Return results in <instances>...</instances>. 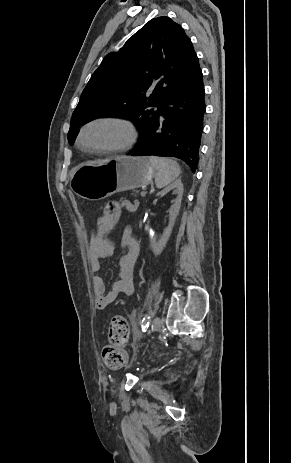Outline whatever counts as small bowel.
I'll return each instance as SVG.
<instances>
[{"mask_svg": "<svg viewBox=\"0 0 291 463\" xmlns=\"http://www.w3.org/2000/svg\"><path fill=\"white\" fill-rule=\"evenodd\" d=\"M106 233H99L97 230L92 234L89 244V259L91 271L94 273L92 287L95 294V305L99 310L105 309L120 295H131L134 292L133 274L135 263L139 254V244L132 236L131 229L126 227L122 233L121 250L122 256L119 262L118 279L108 290L105 281L99 272L102 269L103 258L113 254L114 245Z\"/></svg>", "mask_w": 291, "mask_h": 463, "instance_id": "obj_1", "label": "small bowel"}]
</instances>
